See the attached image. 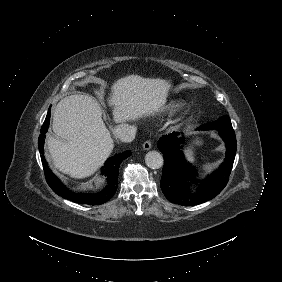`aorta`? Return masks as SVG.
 I'll return each mask as SVG.
<instances>
[{"label": "aorta", "mask_w": 282, "mask_h": 282, "mask_svg": "<svg viewBox=\"0 0 282 282\" xmlns=\"http://www.w3.org/2000/svg\"><path fill=\"white\" fill-rule=\"evenodd\" d=\"M145 163L149 168L159 169L163 166V157L157 151H149L145 155Z\"/></svg>", "instance_id": "762f6f07"}]
</instances>
